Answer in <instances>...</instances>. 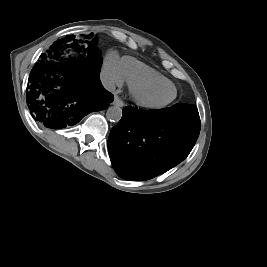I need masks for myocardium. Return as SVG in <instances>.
Masks as SVG:
<instances>
[{"mask_svg": "<svg viewBox=\"0 0 267 267\" xmlns=\"http://www.w3.org/2000/svg\"><path fill=\"white\" fill-rule=\"evenodd\" d=\"M161 85H169L172 86L174 89V95L173 97L163 103H153L150 102L148 100H146L143 96H142V91L150 88V87H155V86H161ZM130 92H131V96L133 98V100L140 106L145 107V108H150V109H161V108H165L168 105H170L171 103H173L178 95V91L176 86L170 82V81H144V82H139L137 84L131 85L130 86Z\"/></svg>", "mask_w": 267, "mask_h": 267, "instance_id": "1", "label": "myocardium"}]
</instances>
